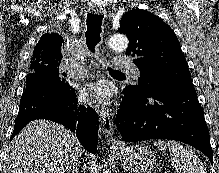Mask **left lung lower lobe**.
Here are the masks:
<instances>
[{
    "label": "left lung lower lobe",
    "instance_id": "left-lung-lower-lobe-1",
    "mask_svg": "<svg viewBox=\"0 0 219 173\" xmlns=\"http://www.w3.org/2000/svg\"><path fill=\"white\" fill-rule=\"evenodd\" d=\"M123 93L115 119L123 141L178 140L200 150L213 164L209 131L194 88L147 96L128 89Z\"/></svg>",
    "mask_w": 219,
    "mask_h": 173
}]
</instances>
